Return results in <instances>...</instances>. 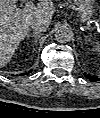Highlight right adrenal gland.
<instances>
[{
    "label": "right adrenal gland",
    "mask_w": 100,
    "mask_h": 118,
    "mask_svg": "<svg viewBox=\"0 0 100 118\" xmlns=\"http://www.w3.org/2000/svg\"><path fill=\"white\" fill-rule=\"evenodd\" d=\"M41 35L42 34L37 33V32H33V33L29 32V34L27 35V39H29L30 37H33L35 38V40H37Z\"/></svg>",
    "instance_id": "1"
}]
</instances>
